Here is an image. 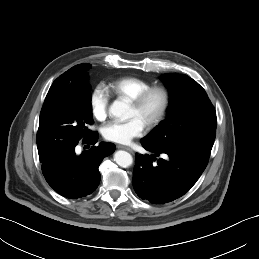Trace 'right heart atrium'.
<instances>
[{
	"label": "right heart atrium",
	"mask_w": 259,
	"mask_h": 259,
	"mask_svg": "<svg viewBox=\"0 0 259 259\" xmlns=\"http://www.w3.org/2000/svg\"><path fill=\"white\" fill-rule=\"evenodd\" d=\"M110 103V94L108 89L102 85H96L90 94V107L93 116L99 120L104 121L108 115V108Z\"/></svg>",
	"instance_id": "right-heart-atrium-1"
}]
</instances>
